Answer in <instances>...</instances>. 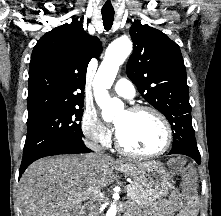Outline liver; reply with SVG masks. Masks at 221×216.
<instances>
[{
    "mask_svg": "<svg viewBox=\"0 0 221 216\" xmlns=\"http://www.w3.org/2000/svg\"><path fill=\"white\" fill-rule=\"evenodd\" d=\"M139 163V162H135ZM114 162L101 155L93 165L87 155L46 157L23 173L19 194L23 216H81L82 202L111 184Z\"/></svg>",
    "mask_w": 221,
    "mask_h": 216,
    "instance_id": "6515ba94",
    "label": "liver"
}]
</instances>
